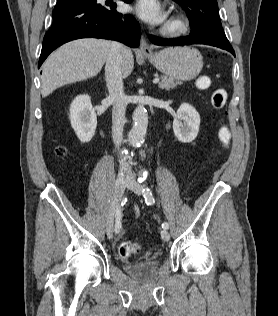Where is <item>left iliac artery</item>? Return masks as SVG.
<instances>
[{
	"label": "left iliac artery",
	"instance_id": "1",
	"mask_svg": "<svg viewBox=\"0 0 278 316\" xmlns=\"http://www.w3.org/2000/svg\"><path fill=\"white\" fill-rule=\"evenodd\" d=\"M143 195H144V199L147 205H152L155 203V199L152 195L151 190L148 187H145L143 189ZM162 228L163 229H168L169 228V224L167 222H163L162 223Z\"/></svg>",
	"mask_w": 278,
	"mask_h": 316
}]
</instances>
